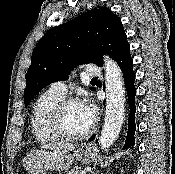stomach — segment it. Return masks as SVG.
Returning a JSON list of instances; mask_svg holds the SVG:
<instances>
[{
	"mask_svg": "<svg viewBox=\"0 0 175 174\" xmlns=\"http://www.w3.org/2000/svg\"><path fill=\"white\" fill-rule=\"evenodd\" d=\"M95 153L89 145L78 147L73 154L61 150H36L24 159V167L31 174H44L47 170L67 171L74 160L90 163Z\"/></svg>",
	"mask_w": 175,
	"mask_h": 174,
	"instance_id": "0dacf381",
	"label": "stomach"
}]
</instances>
